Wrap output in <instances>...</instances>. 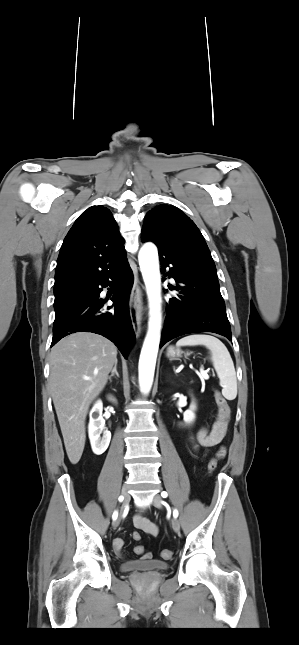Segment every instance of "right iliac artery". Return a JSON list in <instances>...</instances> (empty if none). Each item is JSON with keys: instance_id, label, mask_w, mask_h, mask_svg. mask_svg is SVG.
<instances>
[{"instance_id": "obj_1", "label": "right iliac artery", "mask_w": 299, "mask_h": 645, "mask_svg": "<svg viewBox=\"0 0 299 645\" xmlns=\"http://www.w3.org/2000/svg\"><path fill=\"white\" fill-rule=\"evenodd\" d=\"M119 501H120V502H122V501H123V496H120V497H119ZM117 517H118V511H115V512L113 513V515H112V518H113V520H115Z\"/></svg>"}]
</instances>
